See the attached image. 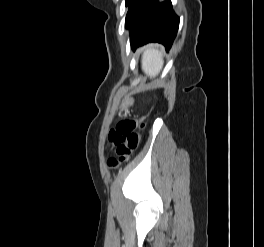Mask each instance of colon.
I'll return each instance as SVG.
<instances>
[{
	"label": "colon",
	"mask_w": 264,
	"mask_h": 247,
	"mask_svg": "<svg viewBox=\"0 0 264 247\" xmlns=\"http://www.w3.org/2000/svg\"><path fill=\"white\" fill-rule=\"evenodd\" d=\"M143 120L128 119L119 122L108 134L111 146L116 150L117 158H110L108 166L116 168L120 163L129 160L131 153L140 141V131L144 128Z\"/></svg>",
	"instance_id": "obj_1"
}]
</instances>
